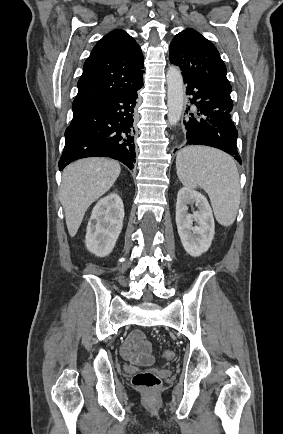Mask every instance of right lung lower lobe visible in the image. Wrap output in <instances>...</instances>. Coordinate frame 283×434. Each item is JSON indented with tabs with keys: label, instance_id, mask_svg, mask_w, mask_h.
Here are the masks:
<instances>
[{
	"label": "right lung lower lobe",
	"instance_id": "right-lung-lower-lobe-1",
	"mask_svg": "<svg viewBox=\"0 0 283 434\" xmlns=\"http://www.w3.org/2000/svg\"><path fill=\"white\" fill-rule=\"evenodd\" d=\"M113 95L73 110L65 131V147L59 168L85 157H110L127 165L135 163L134 108L137 90Z\"/></svg>",
	"mask_w": 283,
	"mask_h": 434
}]
</instances>
